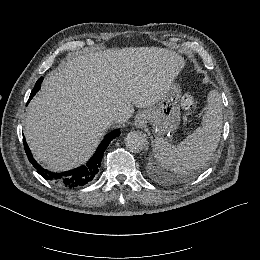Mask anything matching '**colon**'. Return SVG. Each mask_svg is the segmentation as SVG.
I'll use <instances>...</instances> for the list:
<instances>
[{"label": "colon", "mask_w": 260, "mask_h": 260, "mask_svg": "<svg viewBox=\"0 0 260 260\" xmlns=\"http://www.w3.org/2000/svg\"><path fill=\"white\" fill-rule=\"evenodd\" d=\"M192 98L193 96L190 94L184 96L182 100V105L186 110L190 109Z\"/></svg>", "instance_id": "5ec220e1"}]
</instances>
